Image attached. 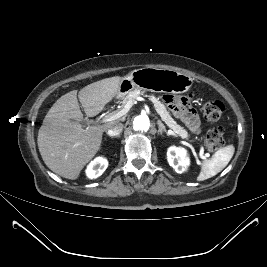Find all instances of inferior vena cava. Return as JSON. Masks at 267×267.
Instances as JSON below:
<instances>
[{
	"label": "inferior vena cava",
	"instance_id": "602c4592",
	"mask_svg": "<svg viewBox=\"0 0 267 267\" xmlns=\"http://www.w3.org/2000/svg\"><path fill=\"white\" fill-rule=\"evenodd\" d=\"M123 130V124L122 123H115L110 126V128L107 131V134L109 136H118Z\"/></svg>",
	"mask_w": 267,
	"mask_h": 267
}]
</instances>
